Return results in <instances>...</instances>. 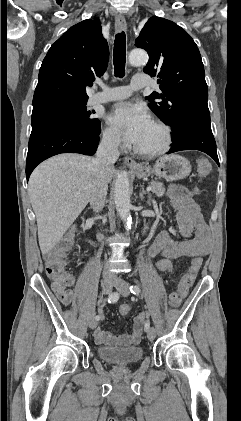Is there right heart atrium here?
Here are the masks:
<instances>
[{"label":"right heart atrium","instance_id":"1","mask_svg":"<svg viewBox=\"0 0 241 421\" xmlns=\"http://www.w3.org/2000/svg\"><path fill=\"white\" fill-rule=\"evenodd\" d=\"M102 140L104 144L111 149H119L122 146L119 134L111 127H106L103 130Z\"/></svg>","mask_w":241,"mask_h":421}]
</instances>
